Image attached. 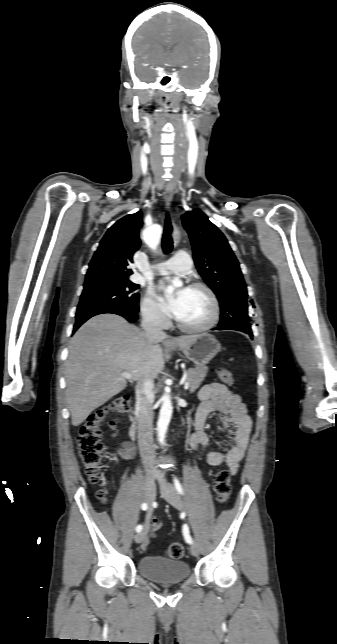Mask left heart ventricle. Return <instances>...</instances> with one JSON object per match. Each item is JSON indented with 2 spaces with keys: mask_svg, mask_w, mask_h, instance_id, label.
I'll return each instance as SVG.
<instances>
[{
  "mask_svg": "<svg viewBox=\"0 0 337 644\" xmlns=\"http://www.w3.org/2000/svg\"><path fill=\"white\" fill-rule=\"evenodd\" d=\"M211 302L205 292L187 289L182 306L175 316L187 326H201L211 316Z\"/></svg>",
  "mask_w": 337,
  "mask_h": 644,
  "instance_id": "obj_1",
  "label": "left heart ventricle"
}]
</instances>
